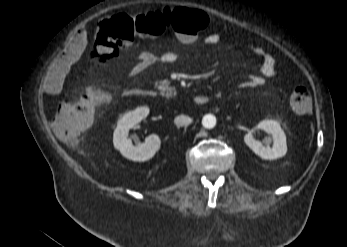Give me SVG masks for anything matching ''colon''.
I'll return each mask as SVG.
<instances>
[{"instance_id": "1", "label": "colon", "mask_w": 347, "mask_h": 247, "mask_svg": "<svg viewBox=\"0 0 347 247\" xmlns=\"http://www.w3.org/2000/svg\"><path fill=\"white\" fill-rule=\"evenodd\" d=\"M207 25L208 17L204 12L185 7L167 8L135 16L117 13L99 24L93 58L97 63L105 64L137 36H159L167 29H172L183 41L192 42ZM106 100L105 93L93 86L79 100L60 102L53 121L57 136L69 140L86 132L93 124L98 105ZM290 104L296 112L308 113L312 106L309 90L304 86L294 88Z\"/></svg>"}]
</instances>
